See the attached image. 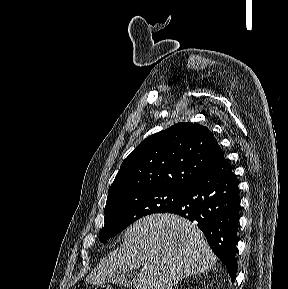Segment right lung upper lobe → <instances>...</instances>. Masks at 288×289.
I'll return each instance as SVG.
<instances>
[{
  "mask_svg": "<svg viewBox=\"0 0 288 289\" xmlns=\"http://www.w3.org/2000/svg\"><path fill=\"white\" fill-rule=\"evenodd\" d=\"M223 158L207 127L175 124L146 138L129 154L108 190V197L134 189L186 188Z\"/></svg>",
  "mask_w": 288,
  "mask_h": 289,
  "instance_id": "obj_1",
  "label": "right lung upper lobe"
}]
</instances>
